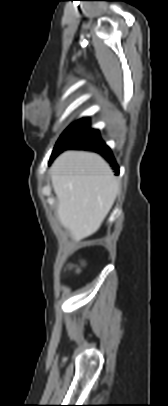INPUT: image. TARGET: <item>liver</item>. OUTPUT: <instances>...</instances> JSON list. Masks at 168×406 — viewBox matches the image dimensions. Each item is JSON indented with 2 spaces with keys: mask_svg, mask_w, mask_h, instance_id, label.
<instances>
[{
  "mask_svg": "<svg viewBox=\"0 0 168 406\" xmlns=\"http://www.w3.org/2000/svg\"><path fill=\"white\" fill-rule=\"evenodd\" d=\"M50 176L61 225L75 242L94 234L119 193L108 163L95 153L66 151L54 161Z\"/></svg>",
  "mask_w": 168,
  "mask_h": 406,
  "instance_id": "obj_1",
  "label": "liver"
}]
</instances>
